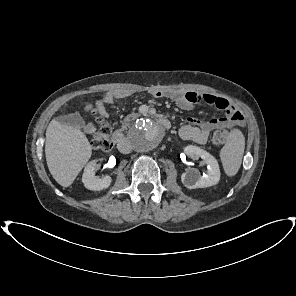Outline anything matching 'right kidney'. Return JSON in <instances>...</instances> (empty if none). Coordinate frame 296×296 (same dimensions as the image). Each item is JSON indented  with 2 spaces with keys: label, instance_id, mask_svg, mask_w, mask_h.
<instances>
[{
  "label": "right kidney",
  "instance_id": "ca27d5eb",
  "mask_svg": "<svg viewBox=\"0 0 296 296\" xmlns=\"http://www.w3.org/2000/svg\"><path fill=\"white\" fill-rule=\"evenodd\" d=\"M96 164V160L90 161L85 166L82 175V182L84 186L92 191H100L106 189L112 183V178L110 176H105L103 178H99L98 176H96Z\"/></svg>",
  "mask_w": 296,
  "mask_h": 296
}]
</instances>
